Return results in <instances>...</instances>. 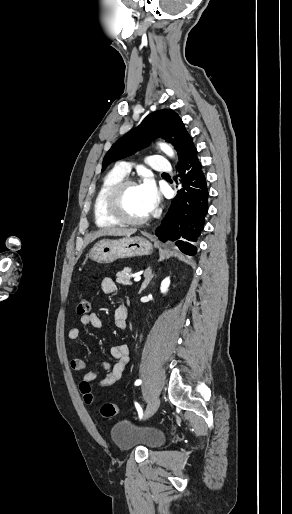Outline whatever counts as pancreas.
<instances>
[{"mask_svg":"<svg viewBox=\"0 0 292 514\" xmlns=\"http://www.w3.org/2000/svg\"><path fill=\"white\" fill-rule=\"evenodd\" d=\"M130 276V268H124L123 272H117L116 282H118V284H123V286H131L132 282H130Z\"/></svg>","mask_w":292,"mask_h":514,"instance_id":"cf45deb5","label":"pancreas"}]
</instances>
